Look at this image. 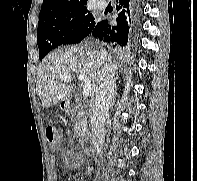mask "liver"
<instances>
[{
  "label": "liver",
  "instance_id": "obj_1",
  "mask_svg": "<svg viewBox=\"0 0 197 181\" xmlns=\"http://www.w3.org/2000/svg\"><path fill=\"white\" fill-rule=\"evenodd\" d=\"M115 60L105 50L67 47L48 55L39 65L36 92L42 106L49 108L65 100L75 90L74 84L59 82L61 75L87 74L91 80L92 94H96L103 69L117 70Z\"/></svg>",
  "mask_w": 197,
  "mask_h": 181
}]
</instances>
